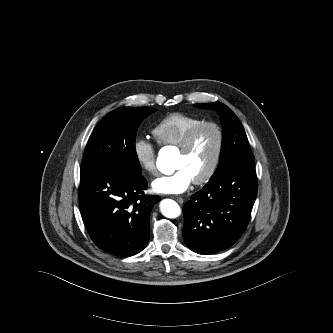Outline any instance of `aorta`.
<instances>
[{"label": "aorta", "instance_id": "762f6f07", "mask_svg": "<svg viewBox=\"0 0 333 333\" xmlns=\"http://www.w3.org/2000/svg\"><path fill=\"white\" fill-rule=\"evenodd\" d=\"M174 154L171 147H163L160 149L157 158V168L164 174H172L174 172ZM161 213L167 218H177L181 209L177 202L172 199H164L160 203Z\"/></svg>", "mask_w": 333, "mask_h": 333}]
</instances>
